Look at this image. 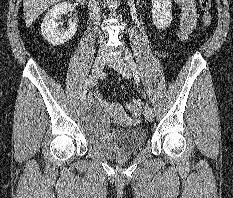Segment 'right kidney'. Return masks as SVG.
<instances>
[{
  "label": "right kidney",
  "instance_id": "obj_1",
  "mask_svg": "<svg viewBox=\"0 0 233 198\" xmlns=\"http://www.w3.org/2000/svg\"><path fill=\"white\" fill-rule=\"evenodd\" d=\"M71 8L68 2H62L53 6L46 13L41 24L42 36L53 46L62 45L68 42L75 35L77 31L76 22H70L67 29H60L62 23L56 20L63 14H66Z\"/></svg>",
  "mask_w": 233,
  "mask_h": 198
}]
</instances>
